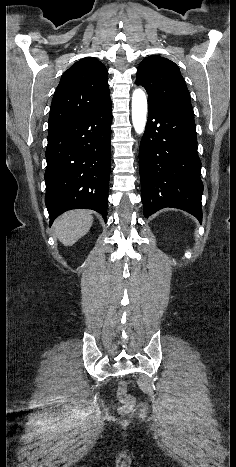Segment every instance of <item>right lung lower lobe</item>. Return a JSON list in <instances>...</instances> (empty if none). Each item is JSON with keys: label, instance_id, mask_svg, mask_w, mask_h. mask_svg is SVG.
Here are the masks:
<instances>
[{"label": "right lung lower lobe", "instance_id": "obj_1", "mask_svg": "<svg viewBox=\"0 0 236 467\" xmlns=\"http://www.w3.org/2000/svg\"><path fill=\"white\" fill-rule=\"evenodd\" d=\"M111 100L92 112L48 129L45 204L50 225L70 209L107 215L111 167Z\"/></svg>", "mask_w": 236, "mask_h": 467}]
</instances>
